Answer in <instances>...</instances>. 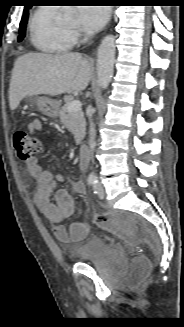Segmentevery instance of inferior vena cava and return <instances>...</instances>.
I'll use <instances>...</instances> for the list:
<instances>
[{
	"label": "inferior vena cava",
	"instance_id": "602c4592",
	"mask_svg": "<svg viewBox=\"0 0 184 327\" xmlns=\"http://www.w3.org/2000/svg\"><path fill=\"white\" fill-rule=\"evenodd\" d=\"M89 121H90L89 146H90L91 159H93V151L95 148V126L94 123L92 122L91 115L89 117Z\"/></svg>",
	"mask_w": 184,
	"mask_h": 327
}]
</instances>
